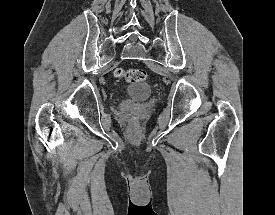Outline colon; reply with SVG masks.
Returning a JSON list of instances; mask_svg holds the SVG:
<instances>
[{
    "mask_svg": "<svg viewBox=\"0 0 275 215\" xmlns=\"http://www.w3.org/2000/svg\"><path fill=\"white\" fill-rule=\"evenodd\" d=\"M115 76L118 79H122L128 83H138L147 79V72L140 68H117L115 70ZM133 119H136V115H133Z\"/></svg>",
    "mask_w": 275,
    "mask_h": 215,
    "instance_id": "obj_1",
    "label": "colon"
}]
</instances>
